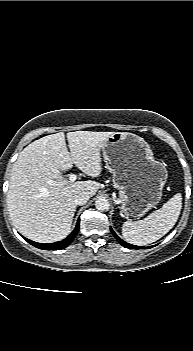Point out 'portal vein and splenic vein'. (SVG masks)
I'll return each instance as SVG.
<instances>
[{"instance_id":"18ae733b","label":"portal vein and splenic vein","mask_w":193,"mask_h":351,"mask_svg":"<svg viewBox=\"0 0 193 351\" xmlns=\"http://www.w3.org/2000/svg\"><path fill=\"white\" fill-rule=\"evenodd\" d=\"M77 179V176L75 174H71L69 177L70 182H74Z\"/></svg>"}]
</instances>
